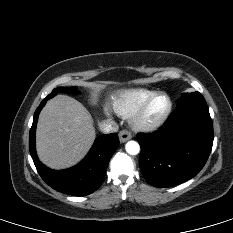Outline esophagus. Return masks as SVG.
Listing matches in <instances>:
<instances>
[{
  "label": "esophagus",
  "mask_w": 233,
  "mask_h": 233,
  "mask_svg": "<svg viewBox=\"0 0 233 233\" xmlns=\"http://www.w3.org/2000/svg\"><path fill=\"white\" fill-rule=\"evenodd\" d=\"M132 138V134L127 130H122L119 132V139L121 143H124Z\"/></svg>",
  "instance_id": "1"
}]
</instances>
